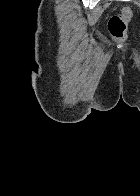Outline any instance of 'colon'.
<instances>
[{
    "label": "colon",
    "instance_id": "1",
    "mask_svg": "<svg viewBox=\"0 0 140 196\" xmlns=\"http://www.w3.org/2000/svg\"><path fill=\"white\" fill-rule=\"evenodd\" d=\"M133 17V12L129 7H122L108 20V30L117 43H123L127 37L128 25Z\"/></svg>",
    "mask_w": 140,
    "mask_h": 196
}]
</instances>
